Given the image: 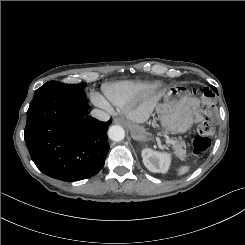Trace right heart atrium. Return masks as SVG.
Masks as SVG:
<instances>
[{
    "mask_svg": "<svg viewBox=\"0 0 245 245\" xmlns=\"http://www.w3.org/2000/svg\"><path fill=\"white\" fill-rule=\"evenodd\" d=\"M93 100H94V102L98 105V106H100V107H102V108H104V109H106V110H110L111 109V106H110V104L102 97V96H100V95H95L94 97H93Z\"/></svg>",
    "mask_w": 245,
    "mask_h": 245,
    "instance_id": "d8ad5b80",
    "label": "right heart atrium"
}]
</instances>
